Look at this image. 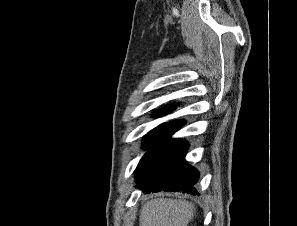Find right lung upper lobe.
<instances>
[{"label":"right lung upper lobe","instance_id":"obj_1","mask_svg":"<svg viewBox=\"0 0 297 226\" xmlns=\"http://www.w3.org/2000/svg\"><path fill=\"white\" fill-rule=\"evenodd\" d=\"M172 110H173L172 107H168V108H166L164 110L156 111L155 115L156 116L164 115V114H166V113H168V112H170Z\"/></svg>","mask_w":297,"mask_h":226}]
</instances>
